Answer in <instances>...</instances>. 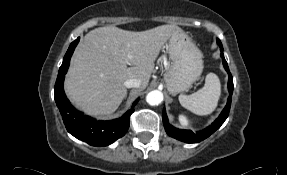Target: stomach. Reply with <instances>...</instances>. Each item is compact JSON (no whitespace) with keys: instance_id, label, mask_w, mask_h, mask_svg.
I'll return each instance as SVG.
<instances>
[{"instance_id":"0dacf381","label":"stomach","mask_w":287,"mask_h":175,"mask_svg":"<svg viewBox=\"0 0 287 175\" xmlns=\"http://www.w3.org/2000/svg\"><path fill=\"white\" fill-rule=\"evenodd\" d=\"M167 51L171 64L164 74L170 94L186 91L199 79L203 71L202 53L185 33H175L169 38Z\"/></svg>"}]
</instances>
